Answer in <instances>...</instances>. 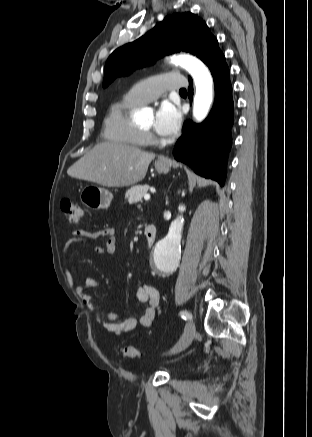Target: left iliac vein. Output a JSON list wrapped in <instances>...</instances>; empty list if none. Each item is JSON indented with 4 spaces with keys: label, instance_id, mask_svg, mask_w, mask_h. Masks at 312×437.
Listing matches in <instances>:
<instances>
[{
    "label": "left iliac vein",
    "instance_id": "left-iliac-vein-1",
    "mask_svg": "<svg viewBox=\"0 0 312 437\" xmlns=\"http://www.w3.org/2000/svg\"><path fill=\"white\" fill-rule=\"evenodd\" d=\"M195 335H196L195 323L191 320L188 323L182 338L177 343V345L170 351V354H176L185 350L190 345Z\"/></svg>",
    "mask_w": 312,
    "mask_h": 437
}]
</instances>
